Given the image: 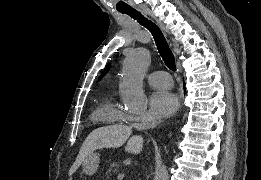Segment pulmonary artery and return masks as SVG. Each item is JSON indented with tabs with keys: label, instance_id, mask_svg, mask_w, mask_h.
Returning a JSON list of instances; mask_svg holds the SVG:
<instances>
[{
	"label": "pulmonary artery",
	"instance_id": "1",
	"mask_svg": "<svg viewBox=\"0 0 261 180\" xmlns=\"http://www.w3.org/2000/svg\"><path fill=\"white\" fill-rule=\"evenodd\" d=\"M149 84L159 86L160 88H169L171 84V76L165 71H156L146 77Z\"/></svg>",
	"mask_w": 261,
	"mask_h": 180
}]
</instances>
